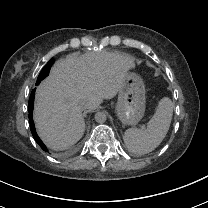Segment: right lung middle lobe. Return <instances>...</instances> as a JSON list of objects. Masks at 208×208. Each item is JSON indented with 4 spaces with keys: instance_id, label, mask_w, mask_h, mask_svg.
Instances as JSON below:
<instances>
[{
    "instance_id": "dd1d6c3e",
    "label": "right lung middle lobe",
    "mask_w": 208,
    "mask_h": 208,
    "mask_svg": "<svg viewBox=\"0 0 208 208\" xmlns=\"http://www.w3.org/2000/svg\"><path fill=\"white\" fill-rule=\"evenodd\" d=\"M45 66L44 68L42 69V71L40 72L39 76H38V79H37V82H36V85L42 80L45 78Z\"/></svg>"
}]
</instances>
